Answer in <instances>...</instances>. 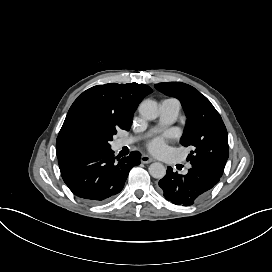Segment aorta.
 <instances>
[{
    "label": "aorta",
    "instance_id": "obj_1",
    "mask_svg": "<svg viewBox=\"0 0 272 272\" xmlns=\"http://www.w3.org/2000/svg\"><path fill=\"white\" fill-rule=\"evenodd\" d=\"M139 114L143 117L152 120L159 116L158 104L156 101L151 99L144 100L139 108ZM149 173L153 178L162 179L166 175V168L160 162H154L149 166Z\"/></svg>",
    "mask_w": 272,
    "mask_h": 272
}]
</instances>
